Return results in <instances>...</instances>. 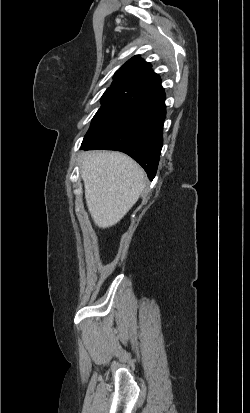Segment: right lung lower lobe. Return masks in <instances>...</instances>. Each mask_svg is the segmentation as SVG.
<instances>
[{"mask_svg": "<svg viewBox=\"0 0 250 413\" xmlns=\"http://www.w3.org/2000/svg\"><path fill=\"white\" fill-rule=\"evenodd\" d=\"M165 115L164 92L137 97L110 128L81 148L124 152L136 160L152 180L156 175L163 145Z\"/></svg>", "mask_w": 250, "mask_h": 413, "instance_id": "right-lung-lower-lobe-1", "label": "right lung lower lobe"}]
</instances>
